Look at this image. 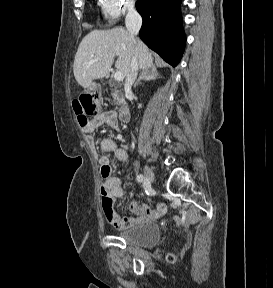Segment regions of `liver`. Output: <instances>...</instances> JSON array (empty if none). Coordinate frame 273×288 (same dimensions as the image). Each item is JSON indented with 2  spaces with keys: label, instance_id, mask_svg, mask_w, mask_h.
Returning <instances> with one entry per match:
<instances>
[{
  "label": "liver",
  "instance_id": "1",
  "mask_svg": "<svg viewBox=\"0 0 273 288\" xmlns=\"http://www.w3.org/2000/svg\"><path fill=\"white\" fill-rule=\"evenodd\" d=\"M135 53L140 69L153 66L149 48L125 29L93 30L79 44L73 65L75 79L83 88L90 87L93 80L109 74L115 56V67L125 77Z\"/></svg>",
  "mask_w": 273,
  "mask_h": 288
}]
</instances>
